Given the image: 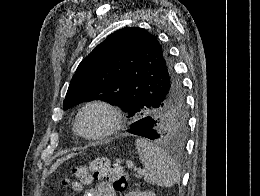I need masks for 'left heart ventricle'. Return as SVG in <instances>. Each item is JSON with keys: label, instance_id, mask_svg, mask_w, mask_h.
Returning <instances> with one entry per match:
<instances>
[{"label": "left heart ventricle", "instance_id": "obj_1", "mask_svg": "<svg viewBox=\"0 0 260 196\" xmlns=\"http://www.w3.org/2000/svg\"><path fill=\"white\" fill-rule=\"evenodd\" d=\"M113 122L112 114L102 106H92L81 116L79 127L88 135L99 134L108 129Z\"/></svg>", "mask_w": 260, "mask_h": 196}]
</instances>
